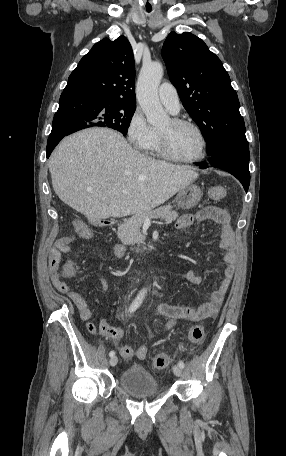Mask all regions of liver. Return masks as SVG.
<instances>
[{
  "label": "liver",
  "mask_w": 286,
  "mask_h": 456,
  "mask_svg": "<svg viewBox=\"0 0 286 456\" xmlns=\"http://www.w3.org/2000/svg\"><path fill=\"white\" fill-rule=\"evenodd\" d=\"M49 171L58 197L90 222L149 211L199 176L192 167L132 149L121 134L107 128L64 138L50 157Z\"/></svg>",
  "instance_id": "liver-1"
}]
</instances>
